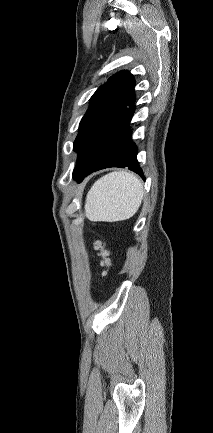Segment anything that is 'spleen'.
Masks as SVG:
<instances>
[{"label":"spleen","mask_w":213,"mask_h":433,"mask_svg":"<svg viewBox=\"0 0 213 433\" xmlns=\"http://www.w3.org/2000/svg\"><path fill=\"white\" fill-rule=\"evenodd\" d=\"M140 179L127 171H115L97 180L86 196L85 214L93 222H116L131 218L143 199Z\"/></svg>","instance_id":"spleen-1"}]
</instances>
